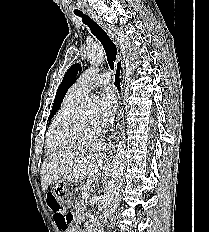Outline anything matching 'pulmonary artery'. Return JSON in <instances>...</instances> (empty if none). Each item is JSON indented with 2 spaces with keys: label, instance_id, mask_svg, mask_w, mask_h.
<instances>
[{
  "label": "pulmonary artery",
  "instance_id": "e3ab8cb5",
  "mask_svg": "<svg viewBox=\"0 0 209 232\" xmlns=\"http://www.w3.org/2000/svg\"><path fill=\"white\" fill-rule=\"evenodd\" d=\"M109 80V72H100L99 69L91 67L81 74L69 93L75 98L82 99L94 87L106 84Z\"/></svg>",
  "mask_w": 209,
  "mask_h": 232
}]
</instances>
